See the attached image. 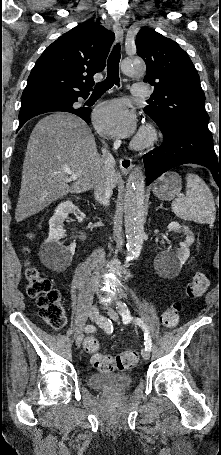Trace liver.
I'll return each instance as SVG.
<instances>
[{"mask_svg":"<svg viewBox=\"0 0 221 455\" xmlns=\"http://www.w3.org/2000/svg\"><path fill=\"white\" fill-rule=\"evenodd\" d=\"M102 167L95 138L81 118L64 112L44 117L27 144L15 220L37 214L68 193L91 190ZM66 170L78 176L72 184ZM112 181L114 188L115 172Z\"/></svg>","mask_w":221,"mask_h":455,"instance_id":"obj_1","label":"liver"}]
</instances>
